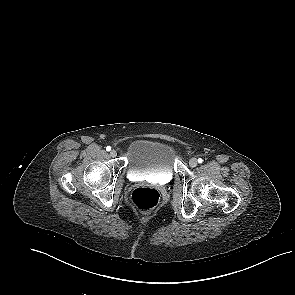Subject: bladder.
I'll list each match as a JSON object with an SVG mask.
<instances>
[{
	"mask_svg": "<svg viewBox=\"0 0 295 295\" xmlns=\"http://www.w3.org/2000/svg\"><path fill=\"white\" fill-rule=\"evenodd\" d=\"M176 150L168 142L139 139L128 149L127 170L135 177L170 181L174 175Z\"/></svg>",
	"mask_w": 295,
	"mask_h": 295,
	"instance_id": "1",
	"label": "bladder"
}]
</instances>
